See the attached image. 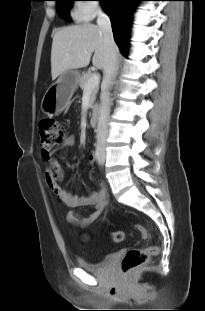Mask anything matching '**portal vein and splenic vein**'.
Wrapping results in <instances>:
<instances>
[{"instance_id":"18ae733b","label":"portal vein and splenic vein","mask_w":205,"mask_h":311,"mask_svg":"<svg viewBox=\"0 0 205 311\" xmlns=\"http://www.w3.org/2000/svg\"><path fill=\"white\" fill-rule=\"evenodd\" d=\"M100 82V75L98 73H94L91 78L88 80L85 91H91L95 86H98Z\"/></svg>"}]
</instances>
